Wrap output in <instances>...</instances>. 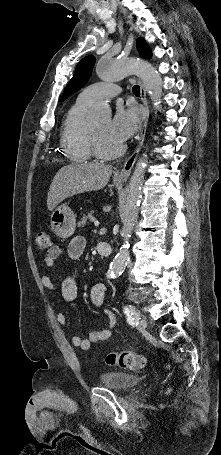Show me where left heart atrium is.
I'll list each match as a JSON object with an SVG mask.
<instances>
[{"instance_id": "obj_1", "label": "left heart atrium", "mask_w": 221, "mask_h": 455, "mask_svg": "<svg viewBox=\"0 0 221 455\" xmlns=\"http://www.w3.org/2000/svg\"><path fill=\"white\" fill-rule=\"evenodd\" d=\"M139 124V113L136 107H119L110 122V131L116 139L123 142L137 131Z\"/></svg>"}]
</instances>
